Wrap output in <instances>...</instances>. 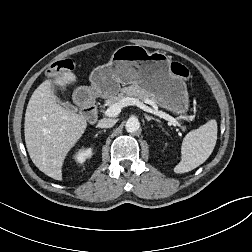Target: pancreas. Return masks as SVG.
I'll use <instances>...</instances> for the list:
<instances>
[{
    "label": "pancreas",
    "mask_w": 252,
    "mask_h": 252,
    "mask_svg": "<svg viewBox=\"0 0 252 252\" xmlns=\"http://www.w3.org/2000/svg\"><path fill=\"white\" fill-rule=\"evenodd\" d=\"M126 97L136 98L139 101H154L152 95L144 89H141L137 85H132L121 89V92L115 96L109 97L105 101V105L111 106L113 104L119 103L122 99ZM155 102V101H154Z\"/></svg>",
    "instance_id": "obj_1"
}]
</instances>
